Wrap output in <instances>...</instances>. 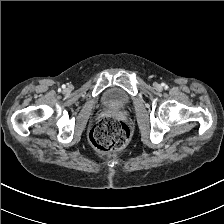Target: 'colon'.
Returning a JSON list of instances; mask_svg holds the SVG:
<instances>
[{"label": "colon", "mask_w": 224, "mask_h": 224, "mask_svg": "<svg viewBox=\"0 0 224 224\" xmlns=\"http://www.w3.org/2000/svg\"><path fill=\"white\" fill-rule=\"evenodd\" d=\"M130 130L117 117L101 118L90 132V143L97 154H109L123 148L129 141Z\"/></svg>", "instance_id": "5ec220e1"}]
</instances>
